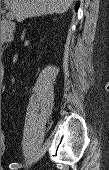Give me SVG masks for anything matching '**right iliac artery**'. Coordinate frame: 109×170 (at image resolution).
Segmentation results:
<instances>
[{"mask_svg": "<svg viewBox=\"0 0 109 170\" xmlns=\"http://www.w3.org/2000/svg\"><path fill=\"white\" fill-rule=\"evenodd\" d=\"M19 167H21V164H19V163H11V164L9 165V168H10L11 170H16V169L19 168Z\"/></svg>", "mask_w": 109, "mask_h": 170, "instance_id": "obj_1", "label": "right iliac artery"}]
</instances>
